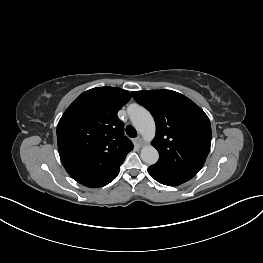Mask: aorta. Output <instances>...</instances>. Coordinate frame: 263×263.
<instances>
[{
  "instance_id": "762f6f07",
  "label": "aorta",
  "mask_w": 263,
  "mask_h": 263,
  "mask_svg": "<svg viewBox=\"0 0 263 263\" xmlns=\"http://www.w3.org/2000/svg\"><path fill=\"white\" fill-rule=\"evenodd\" d=\"M129 115L135 128L146 140H151L155 136V122L149 111L136 106L130 110ZM140 157L144 163L153 165L158 161L159 153L155 147L147 144L141 149Z\"/></svg>"
}]
</instances>
